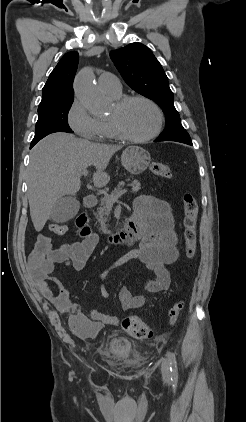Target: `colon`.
<instances>
[{
	"label": "colon",
	"instance_id": "1",
	"mask_svg": "<svg viewBox=\"0 0 246 422\" xmlns=\"http://www.w3.org/2000/svg\"><path fill=\"white\" fill-rule=\"evenodd\" d=\"M152 172L162 178L171 179L173 174L167 164L154 162L151 165ZM184 210V241L185 254L191 259L194 257L197 246V217L198 204L192 194H185L183 197ZM54 235H64L67 226L64 224H51L49 227ZM52 250L51 239L45 235H39L35 246L28 258V267L36 279L44 278L51 269L49 254ZM183 309V302H175L168 312L169 323L174 325L179 320ZM123 328L134 338L145 340L152 336L150 327L137 316H128L122 322Z\"/></svg>",
	"mask_w": 246,
	"mask_h": 422
}]
</instances>
